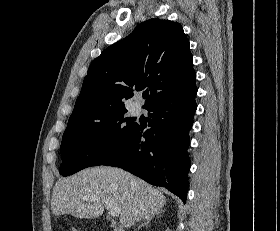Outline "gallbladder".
<instances>
[{"mask_svg": "<svg viewBox=\"0 0 280 231\" xmlns=\"http://www.w3.org/2000/svg\"><path fill=\"white\" fill-rule=\"evenodd\" d=\"M115 225H117L116 221H112L111 227H115Z\"/></svg>", "mask_w": 280, "mask_h": 231, "instance_id": "gallbladder-1", "label": "gallbladder"}]
</instances>
